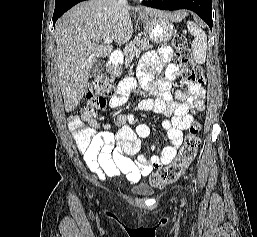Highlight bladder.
<instances>
[{
  "label": "bladder",
  "mask_w": 257,
  "mask_h": 237,
  "mask_svg": "<svg viewBox=\"0 0 257 237\" xmlns=\"http://www.w3.org/2000/svg\"><path fill=\"white\" fill-rule=\"evenodd\" d=\"M134 192L141 197H150L155 193L154 189L146 184L136 185L134 187Z\"/></svg>",
  "instance_id": "bladder-1"
}]
</instances>
